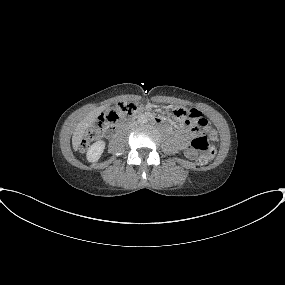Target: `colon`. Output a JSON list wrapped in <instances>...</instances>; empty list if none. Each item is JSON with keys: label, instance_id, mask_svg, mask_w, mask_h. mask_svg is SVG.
I'll return each instance as SVG.
<instances>
[{"label": "colon", "instance_id": "colon-1", "mask_svg": "<svg viewBox=\"0 0 285 285\" xmlns=\"http://www.w3.org/2000/svg\"><path fill=\"white\" fill-rule=\"evenodd\" d=\"M139 107L137 102L122 101L115 107L109 110L105 115L100 116L95 123L87 129L78 141V147L81 151L87 150L89 145L100 138L110 127V125L117 123L124 115L130 114ZM189 114L187 110L181 107H176L173 110V115L178 120H184ZM203 119V118H202ZM195 123L202 124L204 119H193ZM196 129L192 128L186 144V151L189 153L199 152L197 162L201 166L209 164L215 156L216 150L214 146L210 145L208 138L202 134L196 133ZM210 136L214 137L213 131Z\"/></svg>", "mask_w": 285, "mask_h": 285}]
</instances>
